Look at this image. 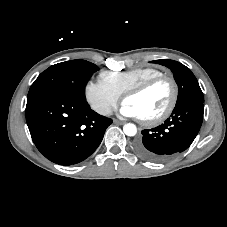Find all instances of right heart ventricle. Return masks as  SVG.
Wrapping results in <instances>:
<instances>
[{
    "mask_svg": "<svg viewBox=\"0 0 227 227\" xmlns=\"http://www.w3.org/2000/svg\"><path fill=\"white\" fill-rule=\"evenodd\" d=\"M163 74L154 67H135L125 71H104L100 80L119 96L147 79Z\"/></svg>",
    "mask_w": 227,
    "mask_h": 227,
    "instance_id": "e07e8e85",
    "label": "right heart ventricle"
}]
</instances>
